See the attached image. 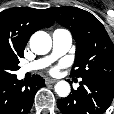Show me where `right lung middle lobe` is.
<instances>
[{"instance_id":"obj_1","label":"right lung middle lobe","mask_w":114,"mask_h":114,"mask_svg":"<svg viewBox=\"0 0 114 114\" xmlns=\"http://www.w3.org/2000/svg\"><path fill=\"white\" fill-rule=\"evenodd\" d=\"M18 63V57L9 58L0 56V83L7 82L16 77L13 72L20 68Z\"/></svg>"}]
</instances>
